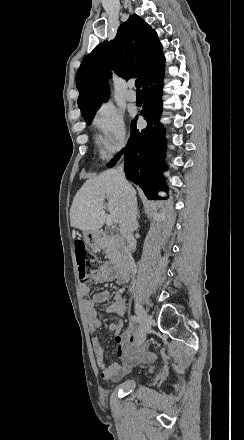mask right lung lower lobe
<instances>
[{
  "instance_id": "obj_1",
  "label": "right lung lower lobe",
  "mask_w": 244,
  "mask_h": 440,
  "mask_svg": "<svg viewBox=\"0 0 244 440\" xmlns=\"http://www.w3.org/2000/svg\"><path fill=\"white\" fill-rule=\"evenodd\" d=\"M164 65L153 71L143 82L144 104L141 115L147 121V127L142 131L136 128L135 118L131 122V135L125 147L126 177L139 185L149 199H156L157 191L165 190L161 171L166 166L163 163L166 141L164 129L159 122L162 112V81ZM121 157V152L108 164L112 167Z\"/></svg>"
}]
</instances>
